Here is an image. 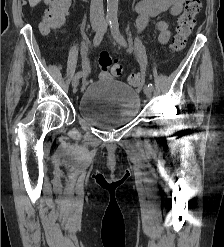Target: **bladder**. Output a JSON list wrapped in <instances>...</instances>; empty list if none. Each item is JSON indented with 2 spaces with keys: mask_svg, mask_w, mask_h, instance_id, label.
<instances>
[{
  "mask_svg": "<svg viewBox=\"0 0 224 247\" xmlns=\"http://www.w3.org/2000/svg\"><path fill=\"white\" fill-rule=\"evenodd\" d=\"M140 97L130 86L112 78L88 85L77 104L79 116L89 125L113 130L132 121L139 113Z\"/></svg>",
  "mask_w": 224,
  "mask_h": 247,
  "instance_id": "1",
  "label": "bladder"
}]
</instances>
